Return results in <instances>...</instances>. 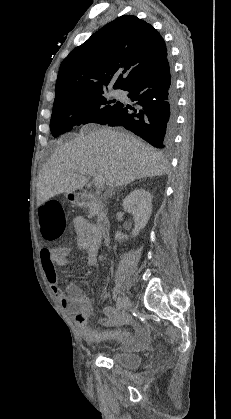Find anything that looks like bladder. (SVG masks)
<instances>
[{
    "mask_svg": "<svg viewBox=\"0 0 231 419\" xmlns=\"http://www.w3.org/2000/svg\"><path fill=\"white\" fill-rule=\"evenodd\" d=\"M107 357L117 366L126 369L139 367L143 359L140 354L127 353L118 349L110 350Z\"/></svg>",
    "mask_w": 231,
    "mask_h": 419,
    "instance_id": "1",
    "label": "bladder"
}]
</instances>
